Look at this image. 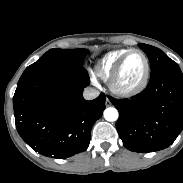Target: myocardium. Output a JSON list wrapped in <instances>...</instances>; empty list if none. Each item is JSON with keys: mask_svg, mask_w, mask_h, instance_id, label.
Returning <instances> with one entry per match:
<instances>
[{"mask_svg": "<svg viewBox=\"0 0 183 183\" xmlns=\"http://www.w3.org/2000/svg\"><path fill=\"white\" fill-rule=\"evenodd\" d=\"M132 53H138L143 58L144 71H143L142 77L135 85L130 86V87H125L119 83V77H120V74H121V71H122V68H123V65H124L126 59ZM149 76H150V63H149L148 57L142 50L132 48V49H129L115 65L114 69L112 70L111 75L108 78V85H109L110 90L115 95H117L119 97H124V98L132 97V96L139 94L140 92H142L144 90V88L146 87V85L148 83Z\"/></svg>", "mask_w": 183, "mask_h": 183, "instance_id": "1", "label": "myocardium"}]
</instances>
